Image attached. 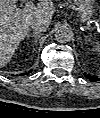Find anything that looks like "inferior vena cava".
I'll use <instances>...</instances> for the list:
<instances>
[{"instance_id":"inferior-vena-cava-1","label":"inferior vena cava","mask_w":100,"mask_h":118,"mask_svg":"<svg viewBox=\"0 0 100 118\" xmlns=\"http://www.w3.org/2000/svg\"><path fill=\"white\" fill-rule=\"evenodd\" d=\"M48 26L49 24L43 19H36L31 23V28L37 33L45 32Z\"/></svg>"}]
</instances>
